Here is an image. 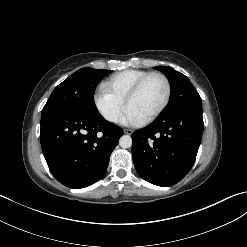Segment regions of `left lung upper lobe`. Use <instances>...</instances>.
Masks as SVG:
<instances>
[{
    "instance_id": "5c2ea615",
    "label": "left lung upper lobe",
    "mask_w": 247,
    "mask_h": 247,
    "mask_svg": "<svg viewBox=\"0 0 247 247\" xmlns=\"http://www.w3.org/2000/svg\"><path fill=\"white\" fill-rule=\"evenodd\" d=\"M155 69L163 72L171 84L170 102L163 113L185 106L202 105L200 95L184 74L167 66H156Z\"/></svg>"
}]
</instances>
